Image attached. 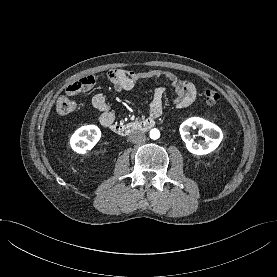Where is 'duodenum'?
<instances>
[{"label":"duodenum","instance_id":"duodenum-1","mask_svg":"<svg viewBox=\"0 0 277 277\" xmlns=\"http://www.w3.org/2000/svg\"><path fill=\"white\" fill-rule=\"evenodd\" d=\"M154 125H155V119L149 117V118L140 119L126 124L109 122L106 125V127H108L110 130H112L118 135L127 136L131 133L138 132V131H142V132L148 131L151 128H153Z\"/></svg>","mask_w":277,"mask_h":277}]
</instances>
